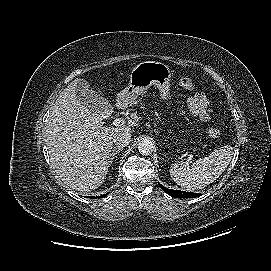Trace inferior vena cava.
<instances>
[{"instance_id":"602c4592","label":"inferior vena cava","mask_w":271,"mask_h":271,"mask_svg":"<svg viewBox=\"0 0 271 271\" xmlns=\"http://www.w3.org/2000/svg\"><path fill=\"white\" fill-rule=\"evenodd\" d=\"M113 142L118 147H125L131 142V134L127 131H121L113 136Z\"/></svg>"}]
</instances>
